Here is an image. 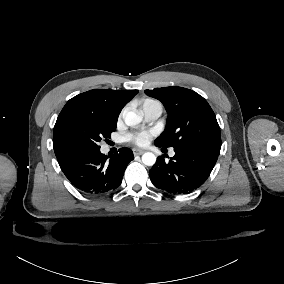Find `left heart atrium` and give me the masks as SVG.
<instances>
[{
    "label": "left heart atrium",
    "instance_id": "obj_1",
    "mask_svg": "<svg viewBox=\"0 0 284 284\" xmlns=\"http://www.w3.org/2000/svg\"><path fill=\"white\" fill-rule=\"evenodd\" d=\"M150 138L151 134L147 131H139L128 136V139L138 146L146 145Z\"/></svg>",
    "mask_w": 284,
    "mask_h": 284
}]
</instances>
